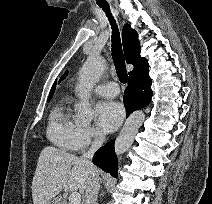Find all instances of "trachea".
Returning <instances> with one entry per match:
<instances>
[{"label":"trachea","mask_w":212,"mask_h":204,"mask_svg":"<svg viewBox=\"0 0 212 204\" xmlns=\"http://www.w3.org/2000/svg\"><path fill=\"white\" fill-rule=\"evenodd\" d=\"M100 8L103 9V11L106 13L111 26H112V58L114 60V65L116 68V72L118 75L119 80L122 83H126L127 82V70L125 67V59H124V55H123V51H122V45H121V40H120V33L119 30L117 28V24L115 22V19L111 16L110 13V7L108 5H99Z\"/></svg>","instance_id":"1"}]
</instances>
